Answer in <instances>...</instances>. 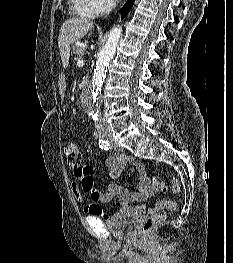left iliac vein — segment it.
<instances>
[{
  "mask_svg": "<svg viewBox=\"0 0 233 263\" xmlns=\"http://www.w3.org/2000/svg\"><path fill=\"white\" fill-rule=\"evenodd\" d=\"M108 141L110 142L111 147L114 148L115 150H118V151H122V150H123V148L120 147V146L114 141V139H113L112 137H108Z\"/></svg>",
  "mask_w": 233,
  "mask_h": 263,
  "instance_id": "left-iliac-vein-1",
  "label": "left iliac vein"
}]
</instances>
